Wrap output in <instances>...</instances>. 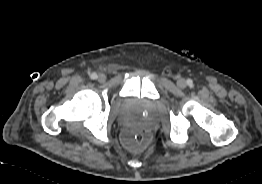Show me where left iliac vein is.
<instances>
[{"label": "left iliac vein", "mask_w": 262, "mask_h": 184, "mask_svg": "<svg viewBox=\"0 0 262 184\" xmlns=\"http://www.w3.org/2000/svg\"><path fill=\"white\" fill-rule=\"evenodd\" d=\"M177 85L180 87V88H184L186 86V81L185 79L181 78L177 81Z\"/></svg>", "instance_id": "left-iliac-vein-1"}]
</instances>
